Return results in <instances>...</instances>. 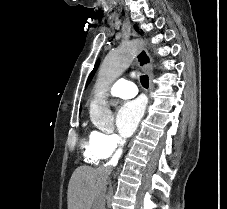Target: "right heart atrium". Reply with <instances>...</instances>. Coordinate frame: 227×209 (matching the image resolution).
<instances>
[{"instance_id": "right-heart-atrium-1", "label": "right heart atrium", "mask_w": 227, "mask_h": 209, "mask_svg": "<svg viewBox=\"0 0 227 209\" xmlns=\"http://www.w3.org/2000/svg\"><path fill=\"white\" fill-rule=\"evenodd\" d=\"M99 142L108 156L115 155L120 152L124 144V140L114 133L99 132Z\"/></svg>"}]
</instances>
